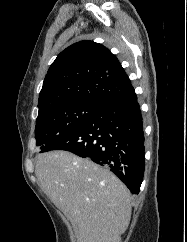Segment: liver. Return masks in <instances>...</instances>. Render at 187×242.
<instances>
[{"instance_id":"liver-1","label":"liver","mask_w":187,"mask_h":242,"mask_svg":"<svg viewBox=\"0 0 187 242\" xmlns=\"http://www.w3.org/2000/svg\"><path fill=\"white\" fill-rule=\"evenodd\" d=\"M39 184L78 229L77 242H120L131 218V195L109 170L70 152L40 154Z\"/></svg>"}]
</instances>
